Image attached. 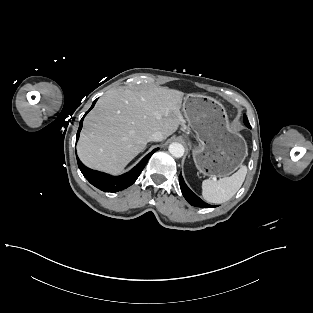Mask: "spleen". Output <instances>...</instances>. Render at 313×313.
<instances>
[{
  "label": "spleen",
  "instance_id": "1",
  "mask_svg": "<svg viewBox=\"0 0 313 313\" xmlns=\"http://www.w3.org/2000/svg\"><path fill=\"white\" fill-rule=\"evenodd\" d=\"M247 174V167L242 166L230 177L219 181L207 179L202 182V196L209 203L221 204L231 199L242 186Z\"/></svg>",
  "mask_w": 313,
  "mask_h": 313
}]
</instances>
